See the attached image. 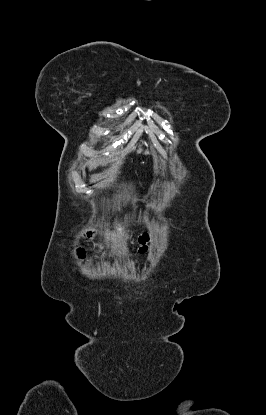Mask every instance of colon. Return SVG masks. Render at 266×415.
<instances>
[{
    "label": "colon",
    "mask_w": 266,
    "mask_h": 415,
    "mask_svg": "<svg viewBox=\"0 0 266 415\" xmlns=\"http://www.w3.org/2000/svg\"><path fill=\"white\" fill-rule=\"evenodd\" d=\"M119 235L126 239L130 244L137 245V249L140 253H144L148 250L150 237L147 233H143L137 237L128 236L122 232H119Z\"/></svg>",
    "instance_id": "obj_1"
}]
</instances>
